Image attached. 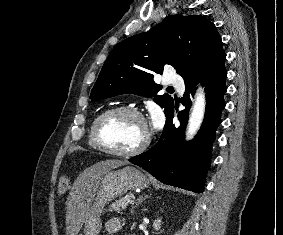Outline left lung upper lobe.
<instances>
[{
	"label": "left lung upper lobe",
	"mask_w": 283,
	"mask_h": 235,
	"mask_svg": "<svg viewBox=\"0 0 283 235\" xmlns=\"http://www.w3.org/2000/svg\"><path fill=\"white\" fill-rule=\"evenodd\" d=\"M225 59L221 37L213 23L201 15H170L149 31L129 37L113 48L90 99L96 102L125 93L154 97L168 117L174 101L168 94L156 95L161 86L154 82V74H162L164 65L169 64L187 81Z\"/></svg>",
	"instance_id": "obj_1"
}]
</instances>
